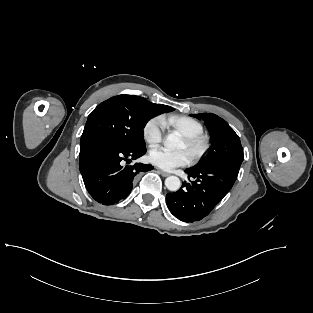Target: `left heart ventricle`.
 I'll return each mask as SVG.
<instances>
[{
	"label": "left heart ventricle",
	"instance_id": "left-heart-ventricle-1",
	"mask_svg": "<svg viewBox=\"0 0 313 313\" xmlns=\"http://www.w3.org/2000/svg\"><path fill=\"white\" fill-rule=\"evenodd\" d=\"M180 148H181V149H183V150L188 151V152H189V154H190V151L188 150L187 145H186V143H185L184 141L182 142V144H181Z\"/></svg>",
	"mask_w": 313,
	"mask_h": 313
}]
</instances>
